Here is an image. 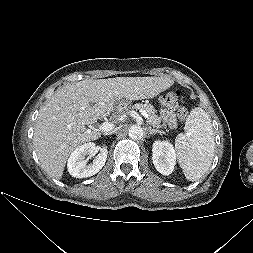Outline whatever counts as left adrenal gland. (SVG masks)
Returning <instances> with one entry per match:
<instances>
[{"label": "left adrenal gland", "instance_id": "1", "mask_svg": "<svg viewBox=\"0 0 253 253\" xmlns=\"http://www.w3.org/2000/svg\"><path fill=\"white\" fill-rule=\"evenodd\" d=\"M148 132H149V134H157V133L162 134V133H164L162 131H159V130H156V129H152L151 127L148 128Z\"/></svg>", "mask_w": 253, "mask_h": 253}]
</instances>
